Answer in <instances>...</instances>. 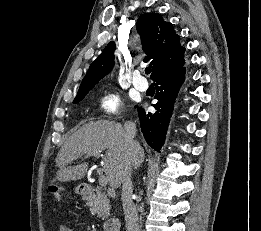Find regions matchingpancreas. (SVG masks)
<instances>
[{
    "label": "pancreas",
    "mask_w": 261,
    "mask_h": 231,
    "mask_svg": "<svg viewBox=\"0 0 261 231\" xmlns=\"http://www.w3.org/2000/svg\"><path fill=\"white\" fill-rule=\"evenodd\" d=\"M87 205L92 213L97 214L98 217L106 219L109 217L110 201L107 195L100 189H96V195L87 198Z\"/></svg>",
    "instance_id": "1"
}]
</instances>
